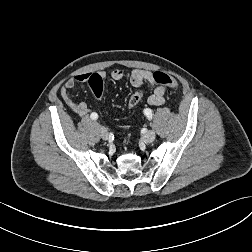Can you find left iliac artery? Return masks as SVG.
Listing matches in <instances>:
<instances>
[{"mask_svg": "<svg viewBox=\"0 0 252 252\" xmlns=\"http://www.w3.org/2000/svg\"><path fill=\"white\" fill-rule=\"evenodd\" d=\"M142 112L147 116L148 120L152 119V111L150 109H148L147 107H144L142 109Z\"/></svg>", "mask_w": 252, "mask_h": 252, "instance_id": "1", "label": "left iliac artery"}]
</instances>
